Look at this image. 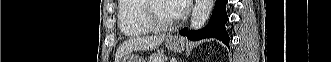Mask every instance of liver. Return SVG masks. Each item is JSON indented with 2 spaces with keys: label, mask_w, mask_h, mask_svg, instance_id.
<instances>
[{
  "label": "liver",
  "mask_w": 331,
  "mask_h": 62,
  "mask_svg": "<svg viewBox=\"0 0 331 62\" xmlns=\"http://www.w3.org/2000/svg\"><path fill=\"white\" fill-rule=\"evenodd\" d=\"M165 35L159 36H145L139 38H132L123 42L117 49L115 62H119L120 59L133 51L138 50H153L160 46L165 40Z\"/></svg>",
  "instance_id": "obj_1"
}]
</instances>
